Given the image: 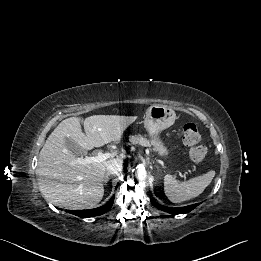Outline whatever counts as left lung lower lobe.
I'll list each match as a JSON object with an SVG mask.
<instances>
[{
    "instance_id": "0a47b994",
    "label": "left lung lower lobe",
    "mask_w": 261,
    "mask_h": 261,
    "mask_svg": "<svg viewBox=\"0 0 261 261\" xmlns=\"http://www.w3.org/2000/svg\"><path fill=\"white\" fill-rule=\"evenodd\" d=\"M151 203L156 206L158 209L168 212L170 214H184L192 211L198 204H193L185 207H179V208H170L163 206L161 204L156 203L154 200L150 199Z\"/></svg>"
}]
</instances>
